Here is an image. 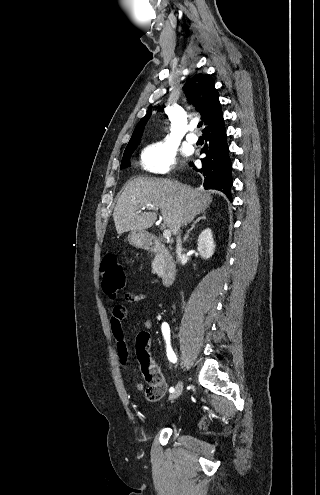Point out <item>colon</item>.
<instances>
[{
  "mask_svg": "<svg viewBox=\"0 0 320 495\" xmlns=\"http://www.w3.org/2000/svg\"><path fill=\"white\" fill-rule=\"evenodd\" d=\"M102 286L107 294L114 297L125 285V274L122 265L114 254H107L101 263ZM117 307H120L117 305ZM136 352L140 363L146 368L151 366L149 353V335L146 332L139 334L136 340ZM148 388L145 391L147 401L154 402L161 399L166 386L163 377L159 374L148 376Z\"/></svg>",
  "mask_w": 320,
  "mask_h": 495,
  "instance_id": "obj_1",
  "label": "colon"
}]
</instances>
